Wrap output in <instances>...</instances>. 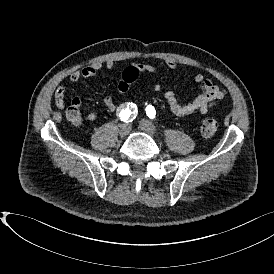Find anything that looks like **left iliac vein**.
<instances>
[{"mask_svg":"<svg viewBox=\"0 0 274 274\" xmlns=\"http://www.w3.org/2000/svg\"><path fill=\"white\" fill-rule=\"evenodd\" d=\"M139 126L143 131L147 132L148 134H150L152 136H154L156 134V127L149 120L142 119L139 122Z\"/></svg>","mask_w":274,"mask_h":274,"instance_id":"left-iliac-vein-1","label":"left iliac vein"}]
</instances>
